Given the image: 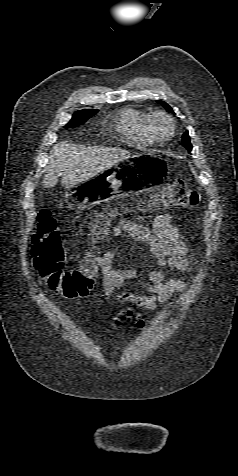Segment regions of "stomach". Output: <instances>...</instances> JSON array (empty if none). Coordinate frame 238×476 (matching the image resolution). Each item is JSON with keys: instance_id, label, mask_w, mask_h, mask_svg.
Masks as SVG:
<instances>
[{"instance_id": "1", "label": "stomach", "mask_w": 238, "mask_h": 476, "mask_svg": "<svg viewBox=\"0 0 238 476\" xmlns=\"http://www.w3.org/2000/svg\"><path fill=\"white\" fill-rule=\"evenodd\" d=\"M168 172L162 156H124L114 166L68 188L65 202L71 209L84 210L121 195H141L142 190H154L155 183H163Z\"/></svg>"}]
</instances>
